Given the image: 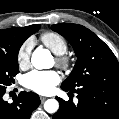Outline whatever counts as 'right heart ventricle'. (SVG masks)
I'll use <instances>...</instances> for the list:
<instances>
[{
  "mask_svg": "<svg viewBox=\"0 0 119 119\" xmlns=\"http://www.w3.org/2000/svg\"><path fill=\"white\" fill-rule=\"evenodd\" d=\"M41 42L56 55H62L67 52L68 44L66 39L56 32H45L40 36Z\"/></svg>",
  "mask_w": 119,
  "mask_h": 119,
  "instance_id": "1",
  "label": "right heart ventricle"
}]
</instances>
